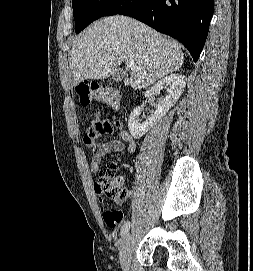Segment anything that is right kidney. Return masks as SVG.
<instances>
[{
	"label": "right kidney",
	"mask_w": 253,
	"mask_h": 271,
	"mask_svg": "<svg viewBox=\"0 0 253 271\" xmlns=\"http://www.w3.org/2000/svg\"><path fill=\"white\" fill-rule=\"evenodd\" d=\"M186 77L181 74H171L160 79L145 93V97L157 95L162 89H166L167 95L159 99L156 105L155 112L150 118L146 119L143 123L140 122L139 115L142 111L141 107H136L130 114L128 119V128L131 135L138 139L145 135L163 116L171 109L176 101L182 95L186 86Z\"/></svg>",
	"instance_id": "right-kidney-1"
}]
</instances>
